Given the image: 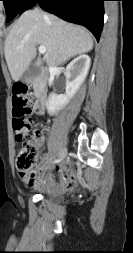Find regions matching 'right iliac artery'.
Here are the masks:
<instances>
[{"mask_svg": "<svg viewBox=\"0 0 133 253\" xmlns=\"http://www.w3.org/2000/svg\"><path fill=\"white\" fill-rule=\"evenodd\" d=\"M53 162H54V163H58V162H60V159H56V160H54Z\"/></svg>", "mask_w": 133, "mask_h": 253, "instance_id": "82829eb1", "label": "right iliac artery"}]
</instances>
